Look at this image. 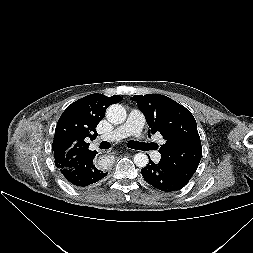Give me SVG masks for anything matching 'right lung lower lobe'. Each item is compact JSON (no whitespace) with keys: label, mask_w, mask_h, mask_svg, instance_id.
Listing matches in <instances>:
<instances>
[{"label":"right lung lower lobe","mask_w":253,"mask_h":253,"mask_svg":"<svg viewBox=\"0 0 253 253\" xmlns=\"http://www.w3.org/2000/svg\"><path fill=\"white\" fill-rule=\"evenodd\" d=\"M60 171L67 181L79 187L94 184L107 175V172L101 171L96 167L94 158L73 168L62 169Z\"/></svg>","instance_id":"98d812e1"}]
</instances>
